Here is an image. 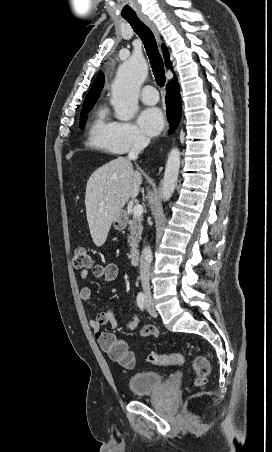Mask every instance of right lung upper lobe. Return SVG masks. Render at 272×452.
I'll use <instances>...</instances> for the list:
<instances>
[{
    "mask_svg": "<svg viewBox=\"0 0 272 452\" xmlns=\"http://www.w3.org/2000/svg\"><path fill=\"white\" fill-rule=\"evenodd\" d=\"M162 49H163V54H164V57H165V63H166V66H167L168 68H170V67H171V63H170V60H169V55H168V51H167L166 46L163 45V46H162ZM174 80H175V79H174ZM103 86H104V76H103L102 73H99V74L97 75V77H96L94 83H93L92 88L90 89L88 95H87L86 98H85L84 104H92V103H95V102L97 101V99H98V97H99V95H100L102 89H103ZM84 104H83V105H84Z\"/></svg>",
    "mask_w": 272,
    "mask_h": 452,
    "instance_id": "right-lung-upper-lobe-1",
    "label": "right lung upper lobe"
}]
</instances>
